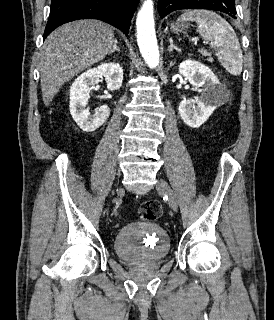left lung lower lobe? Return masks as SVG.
<instances>
[{"instance_id": "left-lung-lower-lobe-1", "label": "left lung lower lobe", "mask_w": 274, "mask_h": 320, "mask_svg": "<svg viewBox=\"0 0 274 320\" xmlns=\"http://www.w3.org/2000/svg\"><path fill=\"white\" fill-rule=\"evenodd\" d=\"M180 9H209L221 11L236 18L234 0H159L158 12L161 18Z\"/></svg>"}]
</instances>
